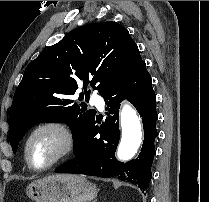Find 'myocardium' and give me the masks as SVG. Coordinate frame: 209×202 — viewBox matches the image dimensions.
Here are the masks:
<instances>
[{"label":"myocardium","mask_w":209,"mask_h":202,"mask_svg":"<svg viewBox=\"0 0 209 202\" xmlns=\"http://www.w3.org/2000/svg\"><path fill=\"white\" fill-rule=\"evenodd\" d=\"M42 131H52L58 135L59 147L55 152L53 158L44 166L38 167L34 165L30 156V142L34 136ZM24 156L28 167L36 172L47 171L62 161L70 158L76 151L77 142L72 130L62 121L59 120H45L35 125L27 134L24 140Z\"/></svg>","instance_id":"myocardium-1"}]
</instances>
